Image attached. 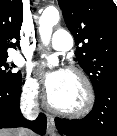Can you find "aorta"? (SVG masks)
Returning <instances> with one entry per match:
<instances>
[{
  "label": "aorta",
  "instance_id": "aorta-1",
  "mask_svg": "<svg viewBox=\"0 0 117 136\" xmlns=\"http://www.w3.org/2000/svg\"><path fill=\"white\" fill-rule=\"evenodd\" d=\"M60 19L59 11L56 8H47L43 11L42 15L39 18V33L42 42L47 45L50 41L52 35V28L55 24L58 23ZM48 63L51 66L58 65V57L56 54H53L48 57Z\"/></svg>",
  "mask_w": 117,
  "mask_h": 136
}]
</instances>
